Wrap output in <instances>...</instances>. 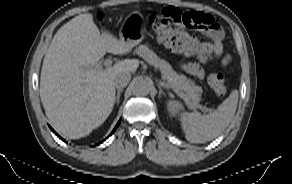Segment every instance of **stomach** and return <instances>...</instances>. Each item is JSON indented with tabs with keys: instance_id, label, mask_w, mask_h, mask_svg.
<instances>
[{
	"instance_id": "0dacf381",
	"label": "stomach",
	"mask_w": 292,
	"mask_h": 184,
	"mask_svg": "<svg viewBox=\"0 0 292 184\" xmlns=\"http://www.w3.org/2000/svg\"><path fill=\"white\" fill-rule=\"evenodd\" d=\"M143 15L133 11L124 20L120 29V39L131 47L138 45L144 38Z\"/></svg>"
}]
</instances>
